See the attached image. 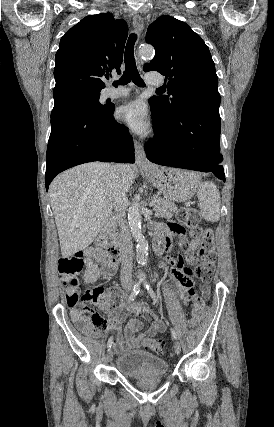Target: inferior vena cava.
<instances>
[{
    "label": "inferior vena cava",
    "mask_w": 274,
    "mask_h": 427,
    "mask_svg": "<svg viewBox=\"0 0 274 427\" xmlns=\"http://www.w3.org/2000/svg\"><path fill=\"white\" fill-rule=\"evenodd\" d=\"M113 172H122L123 166H112ZM127 198H126V188L123 186V182L119 188L116 190V194L114 196V208L116 215L118 217V225L120 227V247L123 251H128L127 257L123 259V263L128 265V267H132V241H131V233L129 231L128 223L126 221V206Z\"/></svg>",
    "instance_id": "obj_1"
}]
</instances>
